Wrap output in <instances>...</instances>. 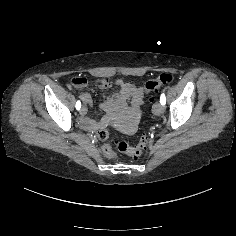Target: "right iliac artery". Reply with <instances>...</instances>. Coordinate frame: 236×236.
<instances>
[{"label":"right iliac artery","mask_w":236,"mask_h":236,"mask_svg":"<svg viewBox=\"0 0 236 236\" xmlns=\"http://www.w3.org/2000/svg\"><path fill=\"white\" fill-rule=\"evenodd\" d=\"M75 107H76L77 110H79L81 108V102L77 101Z\"/></svg>","instance_id":"right-iliac-artery-1"}]
</instances>
